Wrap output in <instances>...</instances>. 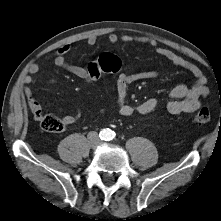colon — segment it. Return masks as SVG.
Segmentation results:
<instances>
[{
	"mask_svg": "<svg viewBox=\"0 0 221 221\" xmlns=\"http://www.w3.org/2000/svg\"><path fill=\"white\" fill-rule=\"evenodd\" d=\"M121 68V60L118 56L105 53L102 54L97 61L88 65L90 81L97 80L103 73H115ZM211 120V113L208 108L203 107L192 117V121L196 124H206ZM39 122L43 130L52 133H59L65 130L66 125L62 118L46 113L39 116Z\"/></svg>",
	"mask_w": 221,
	"mask_h": 221,
	"instance_id": "1",
	"label": "colon"
}]
</instances>
